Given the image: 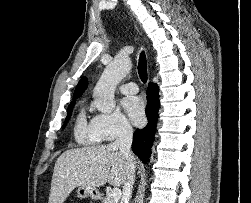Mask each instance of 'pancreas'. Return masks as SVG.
I'll use <instances>...</instances> for the list:
<instances>
[{"instance_id":"cf45deb5","label":"pancreas","mask_w":251,"mask_h":203,"mask_svg":"<svg viewBox=\"0 0 251 203\" xmlns=\"http://www.w3.org/2000/svg\"><path fill=\"white\" fill-rule=\"evenodd\" d=\"M102 203H116L112 198L106 194V197L103 198Z\"/></svg>"}]
</instances>
